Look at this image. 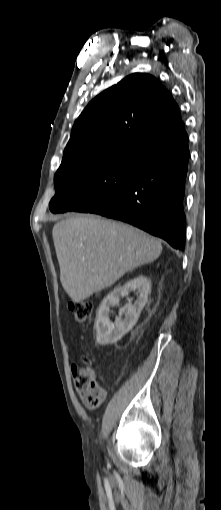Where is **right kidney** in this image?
Returning <instances> with one entry per match:
<instances>
[{
	"mask_svg": "<svg viewBox=\"0 0 221 510\" xmlns=\"http://www.w3.org/2000/svg\"><path fill=\"white\" fill-rule=\"evenodd\" d=\"M151 289V282L143 275H140L123 286H118L111 291L102 301L96 315V343L98 345L114 344L128 333L137 323L142 309L144 308ZM137 291L138 300L132 304H126L121 313L124 319L116 318L112 323L109 319L110 307L119 303L120 297L127 296L129 292Z\"/></svg>",
	"mask_w": 221,
	"mask_h": 510,
	"instance_id": "1",
	"label": "right kidney"
}]
</instances>
